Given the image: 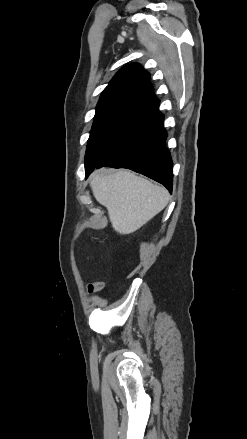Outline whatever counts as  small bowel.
I'll use <instances>...</instances> for the list:
<instances>
[{"instance_id":"c3829d8e","label":"small bowel","mask_w":247,"mask_h":439,"mask_svg":"<svg viewBox=\"0 0 247 439\" xmlns=\"http://www.w3.org/2000/svg\"><path fill=\"white\" fill-rule=\"evenodd\" d=\"M103 287H104L103 282H95V283L88 285V292L89 293H96V292H99L100 290H102Z\"/></svg>"}]
</instances>
